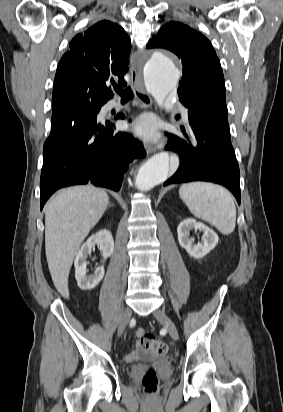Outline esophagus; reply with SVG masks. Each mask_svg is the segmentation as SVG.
<instances>
[{"label":"esophagus","instance_id":"esophagus-1","mask_svg":"<svg viewBox=\"0 0 283 412\" xmlns=\"http://www.w3.org/2000/svg\"><path fill=\"white\" fill-rule=\"evenodd\" d=\"M130 73H131V84L134 88V93L136 98L139 100L141 105L145 108H150L152 106V99L151 97L147 94L145 91L144 87H140L139 84L141 82L140 80V63L139 62H132L131 63V68H130ZM156 151L155 147H149L147 149L148 153H153Z\"/></svg>","mask_w":283,"mask_h":412}]
</instances>
